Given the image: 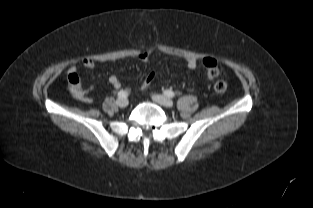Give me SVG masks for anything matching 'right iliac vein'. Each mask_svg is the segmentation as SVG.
<instances>
[{
  "mask_svg": "<svg viewBox=\"0 0 313 208\" xmlns=\"http://www.w3.org/2000/svg\"><path fill=\"white\" fill-rule=\"evenodd\" d=\"M116 104L121 108H125L128 105V100L125 97L118 98Z\"/></svg>",
  "mask_w": 313,
  "mask_h": 208,
  "instance_id": "63e3f726",
  "label": "right iliac vein"
}]
</instances>
